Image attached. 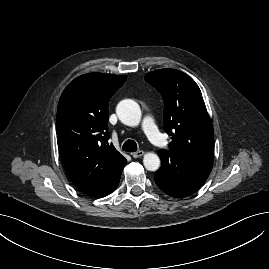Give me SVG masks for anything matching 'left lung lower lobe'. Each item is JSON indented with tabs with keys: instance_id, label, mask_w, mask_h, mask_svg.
Masks as SVG:
<instances>
[{
	"instance_id": "1",
	"label": "left lung lower lobe",
	"mask_w": 269,
	"mask_h": 269,
	"mask_svg": "<svg viewBox=\"0 0 269 269\" xmlns=\"http://www.w3.org/2000/svg\"><path fill=\"white\" fill-rule=\"evenodd\" d=\"M161 167L155 172L157 186L166 194L182 198L195 193L208 178L213 162L171 150H159Z\"/></svg>"
}]
</instances>
